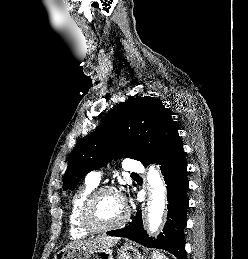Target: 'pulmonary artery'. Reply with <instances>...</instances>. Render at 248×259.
<instances>
[{
  "mask_svg": "<svg viewBox=\"0 0 248 259\" xmlns=\"http://www.w3.org/2000/svg\"><path fill=\"white\" fill-rule=\"evenodd\" d=\"M123 170L129 173H140L143 171V166L140 162L133 159H126L123 164ZM102 173L99 170L91 171L86 176V181L97 185L101 180Z\"/></svg>",
  "mask_w": 248,
  "mask_h": 259,
  "instance_id": "obj_1",
  "label": "pulmonary artery"
}]
</instances>
